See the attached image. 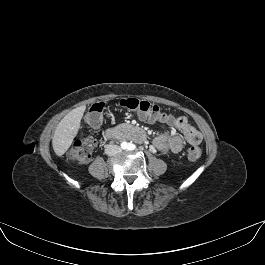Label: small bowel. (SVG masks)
<instances>
[{"mask_svg":"<svg viewBox=\"0 0 265 265\" xmlns=\"http://www.w3.org/2000/svg\"><path fill=\"white\" fill-rule=\"evenodd\" d=\"M139 118L150 124H159L163 127L175 128L182 132L183 137L173 133H163L152 140L153 148L162 153H178L182 151L185 141L192 146H197L201 143V134L189 124L185 117L167 115L164 118H156L140 114Z\"/></svg>","mask_w":265,"mask_h":265,"instance_id":"obj_1","label":"small bowel"}]
</instances>
